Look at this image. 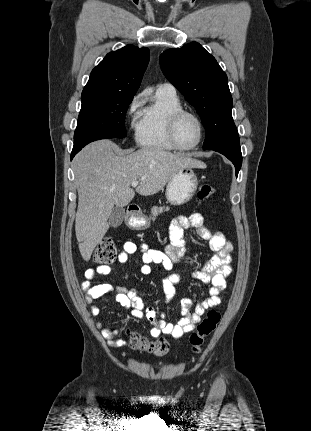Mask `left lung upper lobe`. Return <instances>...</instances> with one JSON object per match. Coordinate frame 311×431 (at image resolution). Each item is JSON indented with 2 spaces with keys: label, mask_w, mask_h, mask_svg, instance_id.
<instances>
[{
  "label": "left lung upper lobe",
  "mask_w": 311,
  "mask_h": 431,
  "mask_svg": "<svg viewBox=\"0 0 311 431\" xmlns=\"http://www.w3.org/2000/svg\"><path fill=\"white\" fill-rule=\"evenodd\" d=\"M166 78L195 107L206 130L204 150L240 145L232 118V96L225 72L199 43L172 48L160 55Z\"/></svg>",
  "instance_id": "1"
}]
</instances>
